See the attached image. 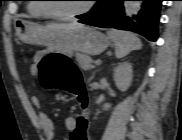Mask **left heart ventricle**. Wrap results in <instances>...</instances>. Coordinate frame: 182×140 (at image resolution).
<instances>
[{"mask_svg": "<svg viewBox=\"0 0 182 140\" xmlns=\"http://www.w3.org/2000/svg\"><path fill=\"white\" fill-rule=\"evenodd\" d=\"M54 4L55 8L60 12L71 13L82 9L86 3L82 0H59Z\"/></svg>", "mask_w": 182, "mask_h": 140, "instance_id": "b2bd125f", "label": "left heart ventricle"}]
</instances>
